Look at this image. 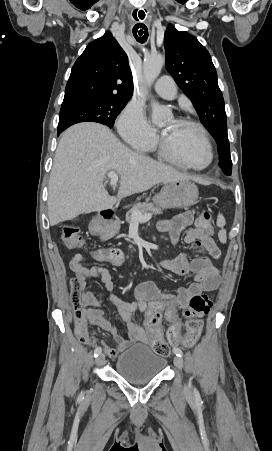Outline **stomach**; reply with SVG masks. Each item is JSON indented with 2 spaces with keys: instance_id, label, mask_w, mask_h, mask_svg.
<instances>
[{
  "instance_id": "1",
  "label": "stomach",
  "mask_w": 272,
  "mask_h": 451,
  "mask_svg": "<svg viewBox=\"0 0 272 451\" xmlns=\"http://www.w3.org/2000/svg\"><path fill=\"white\" fill-rule=\"evenodd\" d=\"M199 192L190 180L167 182L160 194L154 196L153 202L159 208H189L197 204Z\"/></svg>"
}]
</instances>
